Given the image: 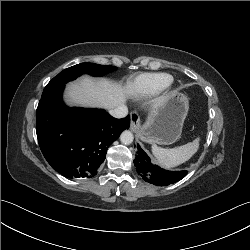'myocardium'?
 Listing matches in <instances>:
<instances>
[{
    "instance_id": "1",
    "label": "myocardium",
    "mask_w": 250,
    "mask_h": 250,
    "mask_svg": "<svg viewBox=\"0 0 250 250\" xmlns=\"http://www.w3.org/2000/svg\"><path fill=\"white\" fill-rule=\"evenodd\" d=\"M172 85V82H170L164 89L169 88Z\"/></svg>"
}]
</instances>
